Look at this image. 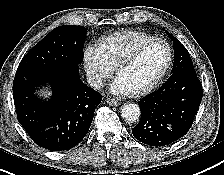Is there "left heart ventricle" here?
I'll use <instances>...</instances> for the list:
<instances>
[{"label": "left heart ventricle", "instance_id": "b2bd125f", "mask_svg": "<svg viewBox=\"0 0 224 175\" xmlns=\"http://www.w3.org/2000/svg\"><path fill=\"white\" fill-rule=\"evenodd\" d=\"M168 52L162 43H154L147 47L140 56L118 75L130 91L149 84L161 71Z\"/></svg>", "mask_w": 224, "mask_h": 175}]
</instances>
